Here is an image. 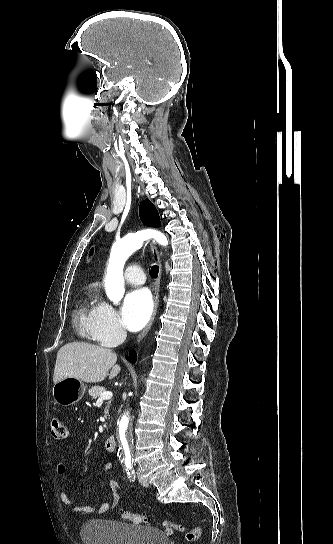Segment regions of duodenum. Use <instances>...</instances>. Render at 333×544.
<instances>
[{
    "instance_id": "1",
    "label": "duodenum",
    "mask_w": 333,
    "mask_h": 544,
    "mask_svg": "<svg viewBox=\"0 0 333 544\" xmlns=\"http://www.w3.org/2000/svg\"><path fill=\"white\" fill-rule=\"evenodd\" d=\"M105 449L106 451L108 452H113L115 451V448H116V438L114 436H109L106 440H105Z\"/></svg>"
}]
</instances>
